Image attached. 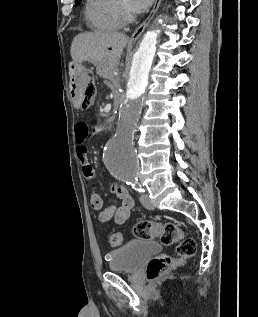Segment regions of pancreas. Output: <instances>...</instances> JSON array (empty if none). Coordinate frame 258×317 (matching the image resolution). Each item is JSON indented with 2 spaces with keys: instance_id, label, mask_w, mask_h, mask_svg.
<instances>
[{
  "instance_id": "obj_1",
  "label": "pancreas",
  "mask_w": 258,
  "mask_h": 317,
  "mask_svg": "<svg viewBox=\"0 0 258 317\" xmlns=\"http://www.w3.org/2000/svg\"><path fill=\"white\" fill-rule=\"evenodd\" d=\"M110 88H111V92H116V90L119 88V83L116 77H111L110 78Z\"/></svg>"
}]
</instances>
